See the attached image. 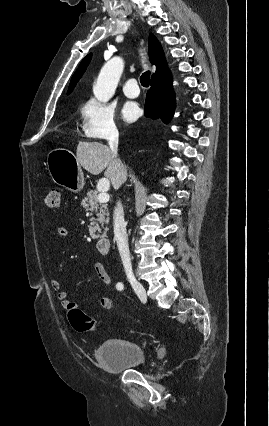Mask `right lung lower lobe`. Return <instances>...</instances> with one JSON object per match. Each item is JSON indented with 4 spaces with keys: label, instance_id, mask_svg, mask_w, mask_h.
Here are the masks:
<instances>
[{
    "label": "right lung lower lobe",
    "instance_id": "98d812e1",
    "mask_svg": "<svg viewBox=\"0 0 269 426\" xmlns=\"http://www.w3.org/2000/svg\"><path fill=\"white\" fill-rule=\"evenodd\" d=\"M145 116L168 123L174 114L175 100L170 72L151 80L145 101Z\"/></svg>",
    "mask_w": 269,
    "mask_h": 426
}]
</instances>
